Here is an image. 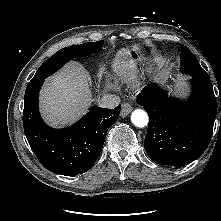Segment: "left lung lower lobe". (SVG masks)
<instances>
[{
  "mask_svg": "<svg viewBox=\"0 0 221 221\" xmlns=\"http://www.w3.org/2000/svg\"><path fill=\"white\" fill-rule=\"evenodd\" d=\"M191 75L194 90L188 101L168 97L153 83L137 95V103L149 115L145 150L160 165L184 166L197 159L211 140L216 117L212 83L207 73Z\"/></svg>",
  "mask_w": 221,
  "mask_h": 221,
  "instance_id": "obj_1",
  "label": "left lung lower lobe"
}]
</instances>
